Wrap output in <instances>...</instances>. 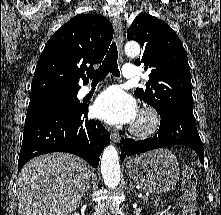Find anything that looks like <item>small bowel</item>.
Instances as JSON below:
<instances>
[{
	"label": "small bowel",
	"instance_id": "c3829d8e",
	"mask_svg": "<svg viewBox=\"0 0 221 215\" xmlns=\"http://www.w3.org/2000/svg\"><path fill=\"white\" fill-rule=\"evenodd\" d=\"M165 215H175L173 212H166Z\"/></svg>",
	"mask_w": 221,
	"mask_h": 215
}]
</instances>
